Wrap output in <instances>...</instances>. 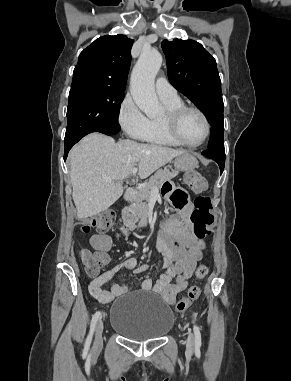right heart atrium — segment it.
Returning a JSON list of instances; mask_svg holds the SVG:
<instances>
[{"label":"right heart atrium","instance_id":"right-heart-atrium-1","mask_svg":"<svg viewBox=\"0 0 291 381\" xmlns=\"http://www.w3.org/2000/svg\"><path fill=\"white\" fill-rule=\"evenodd\" d=\"M117 117L121 128L129 137L142 139L147 130L148 118L130 95L121 101Z\"/></svg>","mask_w":291,"mask_h":381}]
</instances>
